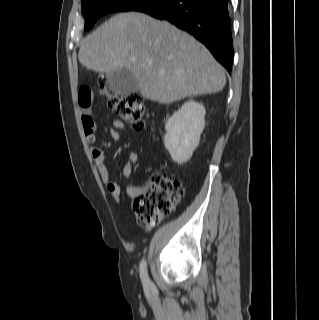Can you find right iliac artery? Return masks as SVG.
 <instances>
[{
	"label": "right iliac artery",
	"instance_id": "obj_1",
	"mask_svg": "<svg viewBox=\"0 0 319 320\" xmlns=\"http://www.w3.org/2000/svg\"><path fill=\"white\" fill-rule=\"evenodd\" d=\"M140 277H141L143 286L145 288H148L151 285V281L147 273V265L145 260H142L140 264Z\"/></svg>",
	"mask_w": 319,
	"mask_h": 320
}]
</instances>
